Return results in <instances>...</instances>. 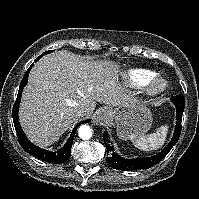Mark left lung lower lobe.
I'll return each mask as SVG.
<instances>
[{"instance_id":"obj_1","label":"left lung lower lobe","mask_w":199,"mask_h":199,"mask_svg":"<svg viewBox=\"0 0 199 199\" xmlns=\"http://www.w3.org/2000/svg\"><path fill=\"white\" fill-rule=\"evenodd\" d=\"M172 102L176 106L177 114H176V126L173 138L167 147H165L161 152L152 156V157H140L135 159H125L119 156L114 152L113 146L110 145V140L107 132L103 133V140L105 142V146L107 148V152L110 153L106 158L107 163L114 169L122 170V171H132V170H140V169H148L158 164L172 149V147L177 143L179 136L181 134V122L182 115L185 108V98L182 94L173 96L171 98Z\"/></svg>"}]
</instances>
